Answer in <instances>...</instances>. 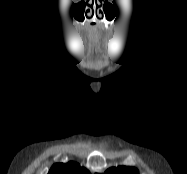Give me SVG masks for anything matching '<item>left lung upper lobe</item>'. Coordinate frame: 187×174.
Here are the masks:
<instances>
[{
    "label": "left lung upper lobe",
    "instance_id": "obj_1",
    "mask_svg": "<svg viewBox=\"0 0 187 174\" xmlns=\"http://www.w3.org/2000/svg\"><path fill=\"white\" fill-rule=\"evenodd\" d=\"M104 174H139V173L136 168L119 166L117 168L112 167V168L106 170Z\"/></svg>",
    "mask_w": 187,
    "mask_h": 174
}]
</instances>
